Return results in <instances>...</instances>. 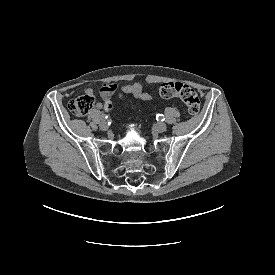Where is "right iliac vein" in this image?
<instances>
[{
  "instance_id": "1",
  "label": "right iliac vein",
  "mask_w": 275,
  "mask_h": 275,
  "mask_svg": "<svg viewBox=\"0 0 275 275\" xmlns=\"http://www.w3.org/2000/svg\"><path fill=\"white\" fill-rule=\"evenodd\" d=\"M99 127L101 130L103 131H106L108 129V124L106 121H102L100 124H99Z\"/></svg>"
}]
</instances>
